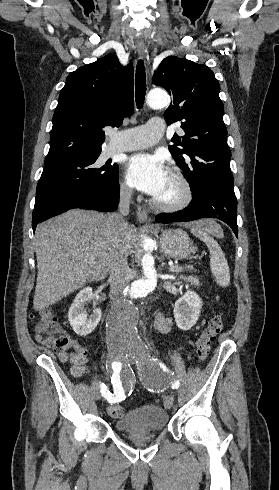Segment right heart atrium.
Segmentation results:
<instances>
[{
  "label": "right heart atrium",
  "mask_w": 279,
  "mask_h": 490,
  "mask_svg": "<svg viewBox=\"0 0 279 490\" xmlns=\"http://www.w3.org/2000/svg\"><path fill=\"white\" fill-rule=\"evenodd\" d=\"M117 189L121 199H129L133 193L132 188L124 180L118 182Z\"/></svg>",
  "instance_id": "obj_1"
}]
</instances>
